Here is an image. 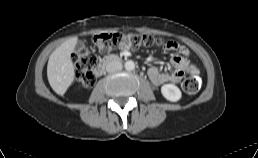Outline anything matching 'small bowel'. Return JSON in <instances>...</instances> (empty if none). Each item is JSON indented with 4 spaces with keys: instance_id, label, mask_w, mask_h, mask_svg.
I'll return each mask as SVG.
<instances>
[{
    "instance_id": "1",
    "label": "small bowel",
    "mask_w": 258,
    "mask_h": 158,
    "mask_svg": "<svg viewBox=\"0 0 258 158\" xmlns=\"http://www.w3.org/2000/svg\"><path fill=\"white\" fill-rule=\"evenodd\" d=\"M169 50L177 51L178 54L172 56L171 64L175 68L172 72H161L157 67H150L148 76L154 85H162L164 83H178L181 81L185 73L198 75L199 69L190 62V51L187 47L177 42H170Z\"/></svg>"
}]
</instances>
